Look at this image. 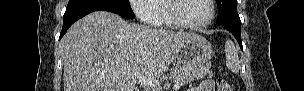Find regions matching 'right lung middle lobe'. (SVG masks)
<instances>
[{
    "label": "right lung middle lobe",
    "mask_w": 304,
    "mask_h": 91,
    "mask_svg": "<svg viewBox=\"0 0 304 91\" xmlns=\"http://www.w3.org/2000/svg\"><path fill=\"white\" fill-rule=\"evenodd\" d=\"M120 16L127 19L134 18V13L129 4V0H110Z\"/></svg>",
    "instance_id": "dd1d6c3e"
}]
</instances>
